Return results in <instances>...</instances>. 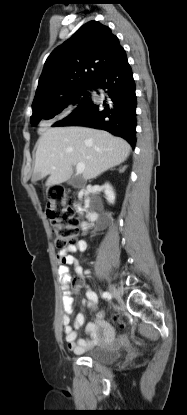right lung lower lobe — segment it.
I'll return each mask as SVG.
<instances>
[{"mask_svg":"<svg viewBox=\"0 0 187 415\" xmlns=\"http://www.w3.org/2000/svg\"><path fill=\"white\" fill-rule=\"evenodd\" d=\"M107 94L103 104L87 98L66 118L53 126H85L106 130L135 147V82L126 53L123 51L92 83Z\"/></svg>","mask_w":187,"mask_h":415,"instance_id":"98d812e1","label":"right lung lower lobe"}]
</instances>
